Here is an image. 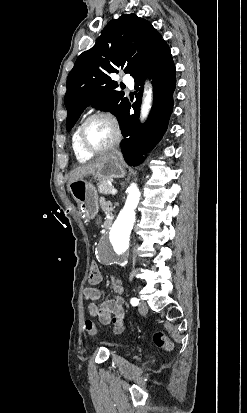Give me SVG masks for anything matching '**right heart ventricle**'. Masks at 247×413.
I'll list each match as a JSON object with an SVG mask.
<instances>
[{
    "label": "right heart ventricle",
    "instance_id": "1",
    "mask_svg": "<svg viewBox=\"0 0 247 413\" xmlns=\"http://www.w3.org/2000/svg\"><path fill=\"white\" fill-rule=\"evenodd\" d=\"M78 129L74 132V134L72 136V147H73L76 159L80 163H85V162L89 161L90 159H92L93 155L86 154L80 149V147L78 145V140H77Z\"/></svg>",
    "mask_w": 247,
    "mask_h": 413
}]
</instances>
